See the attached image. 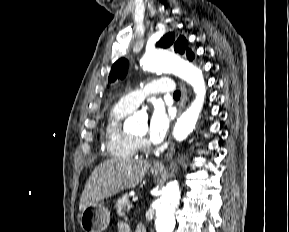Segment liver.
Returning a JSON list of instances; mask_svg holds the SVG:
<instances>
[{"mask_svg":"<svg viewBox=\"0 0 289 232\" xmlns=\"http://www.w3.org/2000/svg\"><path fill=\"white\" fill-rule=\"evenodd\" d=\"M151 164L146 160L109 159L91 173L82 192L79 210L125 189L134 188L144 178Z\"/></svg>","mask_w":289,"mask_h":232,"instance_id":"liver-1","label":"liver"}]
</instances>
